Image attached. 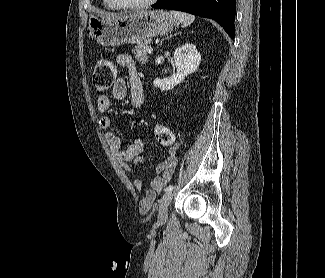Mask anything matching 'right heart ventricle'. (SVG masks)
<instances>
[{"instance_id": "obj_1", "label": "right heart ventricle", "mask_w": 325, "mask_h": 278, "mask_svg": "<svg viewBox=\"0 0 325 278\" xmlns=\"http://www.w3.org/2000/svg\"><path fill=\"white\" fill-rule=\"evenodd\" d=\"M103 1V5L106 9L108 10H115L118 9L116 8L114 5L111 4V2L109 0H102Z\"/></svg>"}]
</instances>
